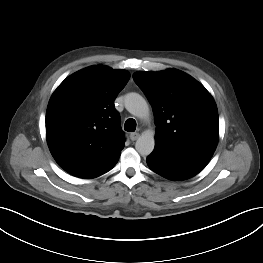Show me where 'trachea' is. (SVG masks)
I'll return each mask as SVG.
<instances>
[{
	"mask_svg": "<svg viewBox=\"0 0 263 263\" xmlns=\"http://www.w3.org/2000/svg\"><path fill=\"white\" fill-rule=\"evenodd\" d=\"M124 129L128 132H134L136 130V121L132 118L127 119L124 125Z\"/></svg>",
	"mask_w": 263,
	"mask_h": 263,
	"instance_id": "3493384b",
	"label": "trachea"
}]
</instances>
